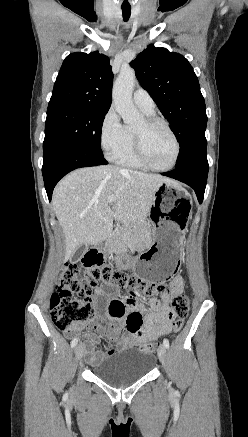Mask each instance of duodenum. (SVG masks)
<instances>
[{
    "label": "duodenum",
    "instance_id": "1",
    "mask_svg": "<svg viewBox=\"0 0 248 437\" xmlns=\"http://www.w3.org/2000/svg\"><path fill=\"white\" fill-rule=\"evenodd\" d=\"M107 245H108V239H105L98 246L94 248H88L86 258L100 257L103 254V250L107 247Z\"/></svg>",
    "mask_w": 248,
    "mask_h": 437
}]
</instances>
